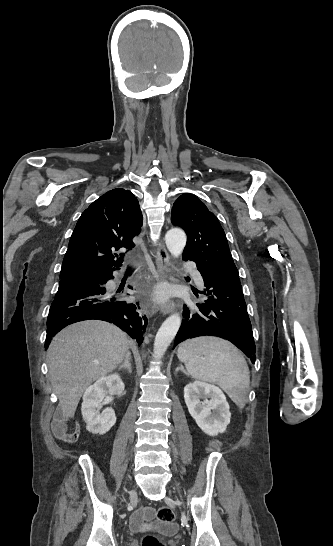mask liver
Returning a JSON list of instances; mask_svg holds the SVG:
<instances>
[{
	"instance_id": "1",
	"label": "liver",
	"mask_w": 333,
	"mask_h": 546,
	"mask_svg": "<svg viewBox=\"0 0 333 546\" xmlns=\"http://www.w3.org/2000/svg\"><path fill=\"white\" fill-rule=\"evenodd\" d=\"M128 349L126 333L103 321L75 323L53 338L49 378L64 416H74L85 389L116 369Z\"/></svg>"
}]
</instances>
